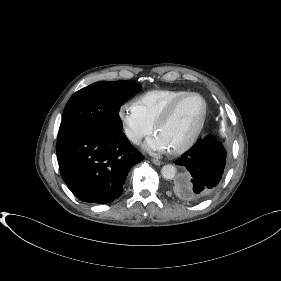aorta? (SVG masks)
I'll use <instances>...</instances> for the list:
<instances>
[{
	"label": "aorta",
	"instance_id": "obj_1",
	"mask_svg": "<svg viewBox=\"0 0 281 281\" xmlns=\"http://www.w3.org/2000/svg\"><path fill=\"white\" fill-rule=\"evenodd\" d=\"M161 174L163 176V178L167 179V180H172L174 179L175 175H176V168L173 165H164L161 169Z\"/></svg>",
	"mask_w": 281,
	"mask_h": 281
}]
</instances>
